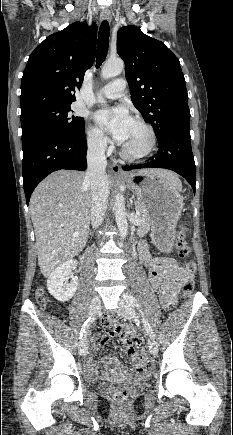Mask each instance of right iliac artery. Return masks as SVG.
<instances>
[{
    "label": "right iliac artery",
    "instance_id": "82829eb1",
    "mask_svg": "<svg viewBox=\"0 0 233 435\" xmlns=\"http://www.w3.org/2000/svg\"><path fill=\"white\" fill-rule=\"evenodd\" d=\"M95 317H89L83 324L81 330H80V339H82L84 333L86 332L87 328L94 322Z\"/></svg>",
    "mask_w": 233,
    "mask_h": 435
}]
</instances>
